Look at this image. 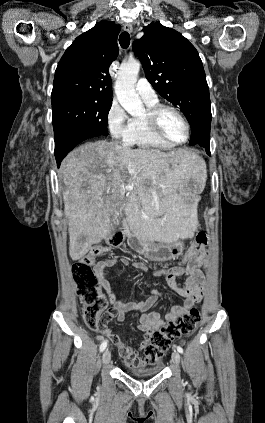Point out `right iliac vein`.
<instances>
[{"mask_svg":"<svg viewBox=\"0 0 265 423\" xmlns=\"http://www.w3.org/2000/svg\"><path fill=\"white\" fill-rule=\"evenodd\" d=\"M102 361H103L104 366H107L110 363V361H111V352L108 349H106L104 351L103 356H102Z\"/></svg>","mask_w":265,"mask_h":423,"instance_id":"obj_1","label":"right iliac vein"}]
</instances>
